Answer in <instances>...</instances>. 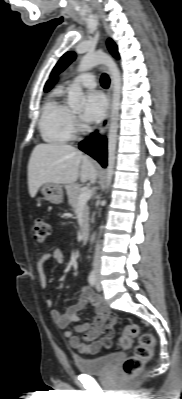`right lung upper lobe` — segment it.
Here are the masks:
<instances>
[{
    "label": "right lung upper lobe",
    "instance_id": "right-lung-upper-lobe-1",
    "mask_svg": "<svg viewBox=\"0 0 182 399\" xmlns=\"http://www.w3.org/2000/svg\"><path fill=\"white\" fill-rule=\"evenodd\" d=\"M55 82H56V78L47 81L44 90H45V91L50 90L51 87L53 86V84H54Z\"/></svg>",
    "mask_w": 182,
    "mask_h": 399
}]
</instances>
